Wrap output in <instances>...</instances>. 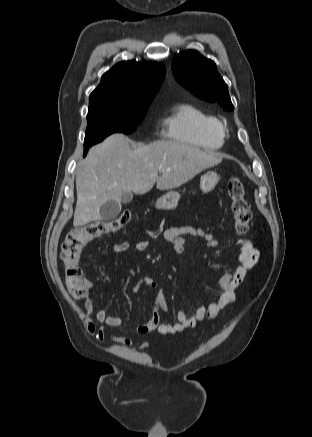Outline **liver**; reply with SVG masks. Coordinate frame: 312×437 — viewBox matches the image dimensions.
I'll list each match as a JSON object with an SVG mask.
<instances>
[{
	"mask_svg": "<svg viewBox=\"0 0 312 437\" xmlns=\"http://www.w3.org/2000/svg\"><path fill=\"white\" fill-rule=\"evenodd\" d=\"M130 142L122 134H113L93 146L78 164L75 227L100 220V207L110 200L120 202L122 192L145 194L155 183L158 190L177 188L222 161L216 152L177 141L161 140L137 148H131Z\"/></svg>",
	"mask_w": 312,
	"mask_h": 437,
	"instance_id": "1",
	"label": "liver"
}]
</instances>
